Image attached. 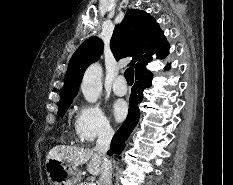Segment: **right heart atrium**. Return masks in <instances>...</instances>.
<instances>
[{"label": "right heart atrium", "instance_id": "1", "mask_svg": "<svg viewBox=\"0 0 233 185\" xmlns=\"http://www.w3.org/2000/svg\"><path fill=\"white\" fill-rule=\"evenodd\" d=\"M74 132L78 142L89 144L112 133L109 119L103 110L92 104H82L76 113Z\"/></svg>", "mask_w": 233, "mask_h": 185}]
</instances>
